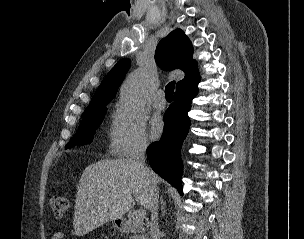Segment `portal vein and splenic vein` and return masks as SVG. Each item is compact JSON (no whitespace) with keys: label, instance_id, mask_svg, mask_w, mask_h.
<instances>
[{"label":"portal vein and splenic vein","instance_id":"18ae733b","mask_svg":"<svg viewBox=\"0 0 304 239\" xmlns=\"http://www.w3.org/2000/svg\"><path fill=\"white\" fill-rule=\"evenodd\" d=\"M145 217H146V211L144 209H139L136 211L135 218L137 222L143 221Z\"/></svg>","mask_w":304,"mask_h":239}]
</instances>
